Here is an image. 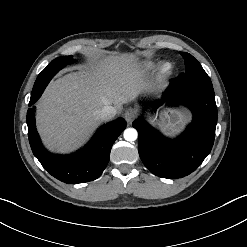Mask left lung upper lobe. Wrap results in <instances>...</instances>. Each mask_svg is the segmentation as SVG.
I'll return each instance as SVG.
<instances>
[{"label":"left lung upper lobe","mask_w":247,"mask_h":247,"mask_svg":"<svg viewBox=\"0 0 247 247\" xmlns=\"http://www.w3.org/2000/svg\"><path fill=\"white\" fill-rule=\"evenodd\" d=\"M185 60V72L176 79L180 84L212 86L211 80L201 64L189 53L180 52Z\"/></svg>","instance_id":"obj_1"}]
</instances>
